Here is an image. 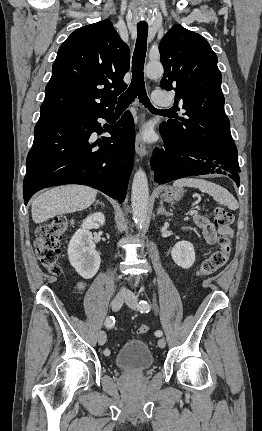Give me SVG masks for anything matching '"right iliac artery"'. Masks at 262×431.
I'll list each match as a JSON object with an SVG mask.
<instances>
[{"mask_svg":"<svg viewBox=\"0 0 262 431\" xmlns=\"http://www.w3.org/2000/svg\"><path fill=\"white\" fill-rule=\"evenodd\" d=\"M114 325H115V318H114L113 316H109V317H107V318H106V320H105V326H106L107 328H112ZM104 354H105V355H109V354H110V351H109L108 349H106V350L104 351Z\"/></svg>","mask_w":262,"mask_h":431,"instance_id":"82829eb1","label":"right iliac artery"}]
</instances>
